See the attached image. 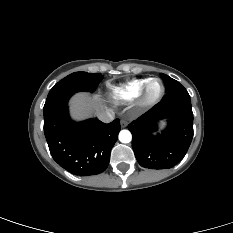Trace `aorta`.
Returning a JSON list of instances; mask_svg holds the SVG:
<instances>
[{"label": "aorta", "mask_w": 233, "mask_h": 233, "mask_svg": "<svg viewBox=\"0 0 233 233\" xmlns=\"http://www.w3.org/2000/svg\"><path fill=\"white\" fill-rule=\"evenodd\" d=\"M119 140L122 143H129L132 140V135L129 130H121L119 133Z\"/></svg>", "instance_id": "762f6f07"}]
</instances>
